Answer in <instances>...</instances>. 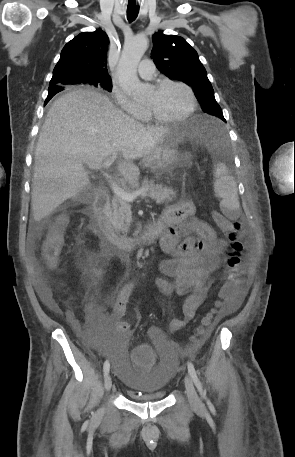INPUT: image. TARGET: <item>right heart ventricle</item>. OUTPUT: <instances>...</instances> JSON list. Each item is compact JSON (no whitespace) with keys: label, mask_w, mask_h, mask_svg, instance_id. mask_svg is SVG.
I'll list each match as a JSON object with an SVG mask.
<instances>
[{"label":"right heart ventricle","mask_w":295,"mask_h":457,"mask_svg":"<svg viewBox=\"0 0 295 457\" xmlns=\"http://www.w3.org/2000/svg\"><path fill=\"white\" fill-rule=\"evenodd\" d=\"M140 120L145 121V122L150 120L148 114L145 111H144L142 117L140 118Z\"/></svg>","instance_id":"right-heart-ventricle-1"}]
</instances>
